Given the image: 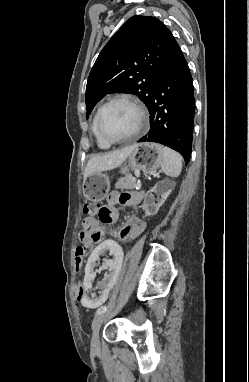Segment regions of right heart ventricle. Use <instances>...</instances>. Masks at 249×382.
Listing matches in <instances>:
<instances>
[{
  "instance_id": "1",
  "label": "right heart ventricle",
  "mask_w": 249,
  "mask_h": 382,
  "mask_svg": "<svg viewBox=\"0 0 249 382\" xmlns=\"http://www.w3.org/2000/svg\"><path fill=\"white\" fill-rule=\"evenodd\" d=\"M96 114L94 115L93 117V120H92V124H91V131H92V134L96 140V143L98 145L99 148L101 149H109L111 147V144L104 141L100 135L98 134V131H97V127H96Z\"/></svg>"
}]
</instances>
